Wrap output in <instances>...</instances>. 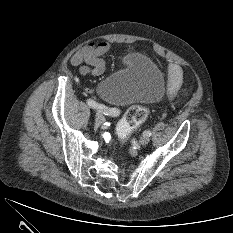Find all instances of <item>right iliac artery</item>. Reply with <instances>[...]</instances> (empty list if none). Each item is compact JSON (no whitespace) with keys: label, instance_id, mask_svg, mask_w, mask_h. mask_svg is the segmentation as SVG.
I'll list each match as a JSON object with an SVG mask.
<instances>
[{"label":"right iliac artery","instance_id":"82829eb1","mask_svg":"<svg viewBox=\"0 0 233 233\" xmlns=\"http://www.w3.org/2000/svg\"><path fill=\"white\" fill-rule=\"evenodd\" d=\"M87 104L90 108L97 109L99 112H102L107 116L117 117L120 114L118 109L98 104L92 99H88Z\"/></svg>","mask_w":233,"mask_h":233}]
</instances>
